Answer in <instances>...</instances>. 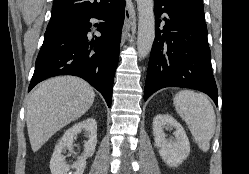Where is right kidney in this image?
I'll return each mask as SVG.
<instances>
[{
    "mask_svg": "<svg viewBox=\"0 0 249 174\" xmlns=\"http://www.w3.org/2000/svg\"><path fill=\"white\" fill-rule=\"evenodd\" d=\"M85 132L88 141L84 143V152L81 157L70 167L66 164L65 157L62 155L64 150L72 151L73 141L77 134ZM97 143V123L93 118L81 121L69 128L55 146L53 155L50 160V170L52 174H67L69 170L75 169L74 174H83L86 167V159L91 157L95 152Z\"/></svg>",
    "mask_w": 249,
    "mask_h": 174,
    "instance_id": "ca27d5eb",
    "label": "right kidney"
}]
</instances>
